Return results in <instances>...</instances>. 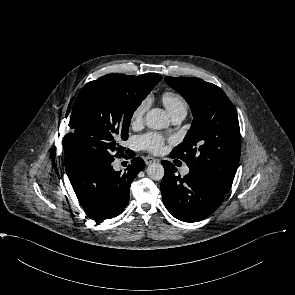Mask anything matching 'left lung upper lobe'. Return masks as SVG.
I'll list each match as a JSON object with an SVG mask.
<instances>
[{
	"label": "left lung upper lobe",
	"instance_id": "1",
	"mask_svg": "<svg viewBox=\"0 0 295 295\" xmlns=\"http://www.w3.org/2000/svg\"><path fill=\"white\" fill-rule=\"evenodd\" d=\"M190 104L194 119L183 142L171 157L183 160L190 171L202 173L231 189L241 151L237 112L226 94L195 77H165Z\"/></svg>",
	"mask_w": 295,
	"mask_h": 295
}]
</instances>
